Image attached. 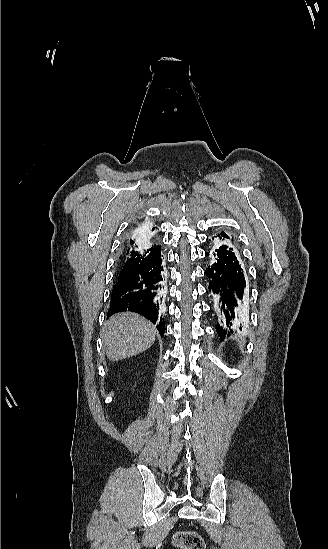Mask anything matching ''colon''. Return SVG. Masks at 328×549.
Returning <instances> with one entry per match:
<instances>
[{"instance_id":"colon-1","label":"colon","mask_w":328,"mask_h":549,"mask_svg":"<svg viewBox=\"0 0 328 549\" xmlns=\"http://www.w3.org/2000/svg\"><path fill=\"white\" fill-rule=\"evenodd\" d=\"M173 544L181 549H204V541L195 531L177 532L173 537Z\"/></svg>"}]
</instances>
